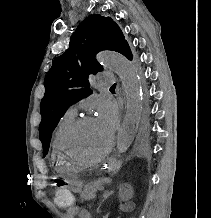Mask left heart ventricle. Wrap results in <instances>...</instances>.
Here are the masks:
<instances>
[{"mask_svg": "<svg viewBox=\"0 0 211 218\" xmlns=\"http://www.w3.org/2000/svg\"><path fill=\"white\" fill-rule=\"evenodd\" d=\"M111 140L112 134L92 119L84 123L74 134L71 153L79 158L92 157L104 151Z\"/></svg>", "mask_w": 211, "mask_h": 218, "instance_id": "obj_1", "label": "left heart ventricle"}]
</instances>
